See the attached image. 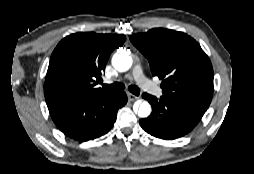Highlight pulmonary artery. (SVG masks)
I'll use <instances>...</instances> for the list:
<instances>
[{"instance_id":"obj_1","label":"pulmonary artery","mask_w":254,"mask_h":174,"mask_svg":"<svg viewBox=\"0 0 254 174\" xmlns=\"http://www.w3.org/2000/svg\"><path fill=\"white\" fill-rule=\"evenodd\" d=\"M132 76L142 89L155 96L162 95L161 89L144 76L142 67L140 65H136L134 67Z\"/></svg>"}]
</instances>
